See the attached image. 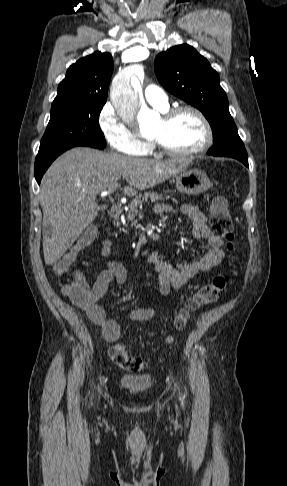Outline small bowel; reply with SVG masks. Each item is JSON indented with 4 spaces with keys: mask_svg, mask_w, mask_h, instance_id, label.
<instances>
[{
    "mask_svg": "<svg viewBox=\"0 0 287 486\" xmlns=\"http://www.w3.org/2000/svg\"><path fill=\"white\" fill-rule=\"evenodd\" d=\"M159 215L170 213L172 208L166 204H158L154 208ZM181 212L191 221V233L194 239L202 246L204 253L190 263L174 264L161 257L157 252L151 253L147 261L154 267L158 276L159 293L167 296L171 291H178L189 283L196 276L212 270L225 258L224 241L217 236L208 226L205 215L194 205L182 206ZM113 246L109 239L101 242V255L107 259L106 267L103 269L93 284L82 278L89 293V302L84 309L89 319L102 330L104 339L108 342H115L120 337V326L111 317H107L104 308L100 304L101 298L106 294L109 284L116 280L119 284L126 281L127 273L125 268L118 262L110 260ZM155 308H136L127 315L131 321H147L154 316Z\"/></svg>",
    "mask_w": 287,
    "mask_h": 486,
    "instance_id": "1",
    "label": "small bowel"
}]
</instances>
